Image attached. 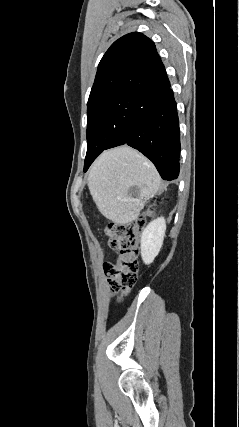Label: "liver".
<instances>
[{"mask_svg":"<svg viewBox=\"0 0 239 427\" xmlns=\"http://www.w3.org/2000/svg\"><path fill=\"white\" fill-rule=\"evenodd\" d=\"M88 187L100 213L116 224L135 220L145 202L163 190L155 166L127 145L104 151L95 160ZM131 187L138 192L130 193Z\"/></svg>","mask_w":239,"mask_h":427,"instance_id":"obj_1","label":"liver"}]
</instances>
